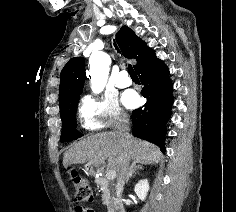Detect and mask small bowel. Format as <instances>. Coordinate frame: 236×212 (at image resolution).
<instances>
[{
  "label": "small bowel",
  "mask_w": 236,
  "mask_h": 212,
  "mask_svg": "<svg viewBox=\"0 0 236 212\" xmlns=\"http://www.w3.org/2000/svg\"><path fill=\"white\" fill-rule=\"evenodd\" d=\"M75 212H92L89 205H76Z\"/></svg>",
  "instance_id": "c3829d8e"
}]
</instances>
